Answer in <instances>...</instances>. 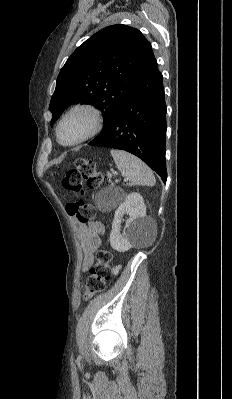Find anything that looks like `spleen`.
I'll use <instances>...</instances> for the list:
<instances>
[{
    "label": "spleen",
    "instance_id": "obj_1",
    "mask_svg": "<svg viewBox=\"0 0 232 399\" xmlns=\"http://www.w3.org/2000/svg\"><path fill=\"white\" fill-rule=\"evenodd\" d=\"M110 154L127 182L125 186H155L152 170L139 158L123 150H111Z\"/></svg>",
    "mask_w": 232,
    "mask_h": 399
}]
</instances>
